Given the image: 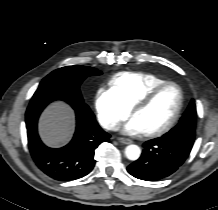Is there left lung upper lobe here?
Instances as JSON below:
<instances>
[{
    "mask_svg": "<svg viewBox=\"0 0 218 210\" xmlns=\"http://www.w3.org/2000/svg\"><path fill=\"white\" fill-rule=\"evenodd\" d=\"M196 106L195 101L192 100L189 104L187 110L183 114L182 118L180 119V122L177 126H175L172 130H170L168 133L165 134L167 137H176L177 135L181 134V130L186 129L193 133L195 137V124H196Z\"/></svg>",
    "mask_w": 218,
    "mask_h": 210,
    "instance_id": "1",
    "label": "left lung upper lobe"
}]
</instances>
